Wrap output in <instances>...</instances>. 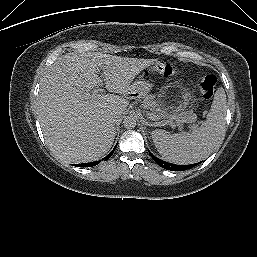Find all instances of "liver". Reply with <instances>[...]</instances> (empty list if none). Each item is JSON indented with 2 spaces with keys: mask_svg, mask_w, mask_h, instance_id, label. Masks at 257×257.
<instances>
[{
  "mask_svg": "<svg viewBox=\"0 0 257 257\" xmlns=\"http://www.w3.org/2000/svg\"><path fill=\"white\" fill-rule=\"evenodd\" d=\"M156 61L100 52L59 57L40 82L37 102L42 132L53 154L69 163L89 162L105 155L116 135L111 115L123 114L129 105L125 97L135 92L132 81ZM103 84L114 94L85 98Z\"/></svg>",
  "mask_w": 257,
  "mask_h": 257,
  "instance_id": "obj_1",
  "label": "liver"
}]
</instances>
